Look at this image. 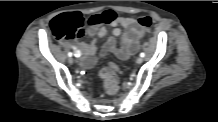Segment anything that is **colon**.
Returning a JSON list of instances; mask_svg holds the SVG:
<instances>
[{
  "label": "colon",
  "mask_w": 218,
  "mask_h": 122,
  "mask_svg": "<svg viewBox=\"0 0 218 122\" xmlns=\"http://www.w3.org/2000/svg\"><path fill=\"white\" fill-rule=\"evenodd\" d=\"M143 30H149L152 25L150 16H143L138 19ZM84 18L78 12L66 13L57 16L51 22V29L54 35L60 40H71L82 36ZM122 69L114 63H109L100 70L99 76L104 82L107 93L114 94L119 88V77L122 76Z\"/></svg>",
  "instance_id": "1"
}]
</instances>
